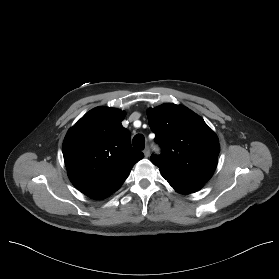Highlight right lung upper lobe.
Returning a JSON list of instances; mask_svg holds the SVG:
<instances>
[{"label": "right lung upper lobe", "mask_w": 279, "mask_h": 279, "mask_svg": "<svg viewBox=\"0 0 279 279\" xmlns=\"http://www.w3.org/2000/svg\"><path fill=\"white\" fill-rule=\"evenodd\" d=\"M125 112L96 107L66 134L63 156L72 184L85 195L105 199L126 180L142 152L132 148L121 122Z\"/></svg>", "instance_id": "cb5924a9"}]
</instances>
